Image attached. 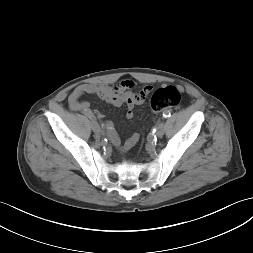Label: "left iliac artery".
I'll return each mask as SVG.
<instances>
[{
	"label": "left iliac artery",
	"mask_w": 253,
	"mask_h": 253,
	"mask_svg": "<svg viewBox=\"0 0 253 253\" xmlns=\"http://www.w3.org/2000/svg\"><path fill=\"white\" fill-rule=\"evenodd\" d=\"M170 115H171V113L168 110L163 112V117L164 118L170 117Z\"/></svg>",
	"instance_id": "obj_1"
}]
</instances>
